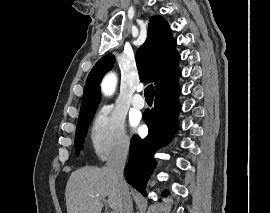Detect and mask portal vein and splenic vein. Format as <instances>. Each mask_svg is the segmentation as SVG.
Masks as SVG:
<instances>
[{
	"label": "portal vein and splenic vein",
	"mask_w": 270,
	"mask_h": 213,
	"mask_svg": "<svg viewBox=\"0 0 270 213\" xmlns=\"http://www.w3.org/2000/svg\"><path fill=\"white\" fill-rule=\"evenodd\" d=\"M103 202H105L106 203V201L105 200H103ZM111 213H116L115 211H112Z\"/></svg>",
	"instance_id": "1"
}]
</instances>
